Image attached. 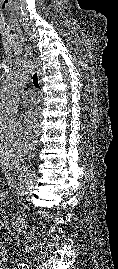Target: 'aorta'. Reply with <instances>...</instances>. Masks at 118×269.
<instances>
[{
  "mask_svg": "<svg viewBox=\"0 0 118 269\" xmlns=\"http://www.w3.org/2000/svg\"><path fill=\"white\" fill-rule=\"evenodd\" d=\"M31 72L32 65L30 62H25L7 77L0 91V115L9 118L17 115L19 98L30 78ZM35 180V171H23L19 176L15 194L24 196L32 188Z\"/></svg>",
  "mask_w": 118,
  "mask_h": 269,
  "instance_id": "aorta-1",
  "label": "aorta"
}]
</instances>
